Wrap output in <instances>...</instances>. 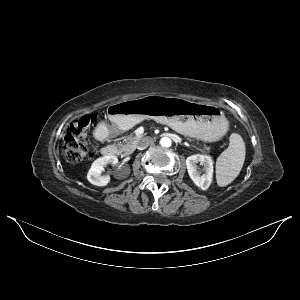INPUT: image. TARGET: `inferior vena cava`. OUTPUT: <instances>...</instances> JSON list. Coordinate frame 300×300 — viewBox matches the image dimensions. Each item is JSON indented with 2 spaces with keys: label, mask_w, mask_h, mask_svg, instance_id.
Wrapping results in <instances>:
<instances>
[{
  "label": "inferior vena cava",
  "mask_w": 300,
  "mask_h": 300,
  "mask_svg": "<svg viewBox=\"0 0 300 300\" xmlns=\"http://www.w3.org/2000/svg\"><path fill=\"white\" fill-rule=\"evenodd\" d=\"M153 143H154V140H153L151 137H149V136L143 137V138L140 139V141H139V143H138V145H137V148H138L139 150H144V149H146L149 145H152Z\"/></svg>",
  "instance_id": "1"
}]
</instances>
